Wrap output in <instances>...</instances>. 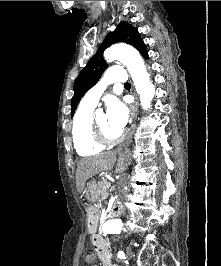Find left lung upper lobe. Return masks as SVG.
Listing matches in <instances>:
<instances>
[{
    "instance_id": "1",
    "label": "left lung upper lobe",
    "mask_w": 221,
    "mask_h": 266,
    "mask_svg": "<svg viewBox=\"0 0 221 266\" xmlns=\"http://www.w3.org/2000/svg\"><path fill=\"white\" fill-rule=\"evenodd\" d=\"M117 42H124L132 45L139 50L145 58H148L145 44L140 37L138 29L127 22H120L113 32L107 34L97 53L76 78L74 83V96L71 100V117L73 116L81 97H83L86 91L97 83L107 67V63L103 59V51Z\"/></svg>"
}]
</instances>
